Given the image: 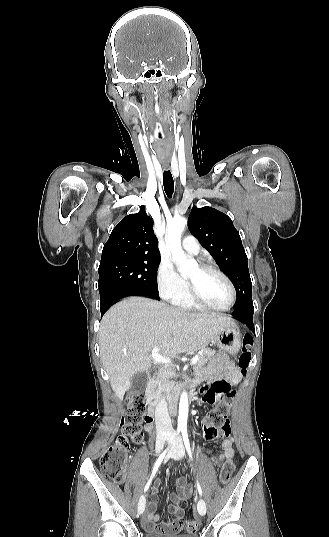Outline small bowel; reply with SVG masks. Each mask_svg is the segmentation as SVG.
I'll use <instances>...</instances> for the list:
<instances>
[{"instance_id": "1", "label": "small bowel", "mask_w": 329, "mask_h": 537, "mask_svg": "<svg viewBox=\"0 0 329 537\" xmlns=\"http://www.w3.org/2000/svg\"><path fill=\"white\" fill-rule=\"evenodd\" d=\"M204 386L200 385L199 394L202 397L204 405H212L215 400L221 399L223 396L229 397L232 395V384H237L242 379V373L233 362L228 360L226 356L220 355L213 359L205 374ZM224 377V379H219ZM215 379H219L215 381ZM146 430L153 432V427L150 423L146 425ZM204 438L207 441L219 440L222 443L223 452L211 461L214 464H220L223 461H231L234 457V437L231 434V426L229 421L226 427L216 431L204 428ZM161 481L157 480L152 488V499L148 502L146 512L143 516L142 523L146 531L157 533H175L184 527V509L181 503L187 501L192 495V487L187 483L186 479L180 477L176 480L177 492L170 494L169 498L172 504L169 506L170 512L175 516L174 521L159 522L160 516L156 514L157 499L161 488Z\"/></svg>"}]
</instances>
